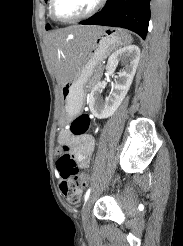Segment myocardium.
I'll return each instance as SVG.
<instances>
[{"instance_id":"1","label":"myocardium","mask_w":183,"mask_h":246,"mask_svg":"<svg viewBox=\"0 0 183 246\" xmlns=\"http://www.w3.org/2000/svg\"><path fill=\"white\" fill-rule=\"evenodd\" d=\"M104 2H105V0H97L91 9H89L87 12H85L81 15H78L76 17L60 18L55 13L56 0H50L49 13H50L51 18L57 22L72 23V22H77V21H80V20H83V19H86V18L92 16L102 7Z\"/></svg>"}]
</instances>
